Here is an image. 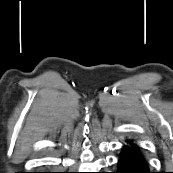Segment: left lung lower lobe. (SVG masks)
Here are the masks:
<instances>
[{"mask_svg":"<svg viewBox=\"0 0 173 173\" xmlns=\"http://www.w3.org/2000/svg\"><path fill=\"white\" fill-rule=\"evenodd\" d=\"M115 173H151L140 147L133 141H126L122 147Z\"/></svg>","mask_w":173,"mask_h":173,"instance_id":"obj_1","label":"left lung lower lobe"}]
</instances>
